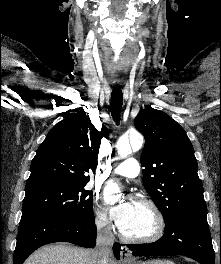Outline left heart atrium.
<instances>
[{"label": "left heart atrium", "mask_w": 221, "mask_h": 264, "mask_svg": "<svg viewBox=\"0 0 221 264\" xmlns=\"http://www.w3.org/2000/svg\"><path fill=\"white\" fill-rule=\"evenodd\" d=\"M134 207L135 202L123 199L110 208L111 218L115 220L120 229L123 228L132 217Z\"/></svg>", "instance_id": "39dd6f15"}]
</instances>
